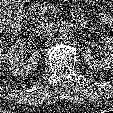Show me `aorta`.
<instances>
[{
    "label": "aorta",
    "mask_w": 113,
    "mask_h": 113,
    "mask_svg": "<svg viewBox=\"0 0 113 113\" xmlns=\"http://www.w3.org/2000/svg\"><path fill=\"white\" fill-rule=\"evenodd\" d=\"M73 36H74L73 29L69 25H64L60 27L57 32V38L63 42L71 41Z\"/></svg>",
    "instance_id": "obj_1"
}]
</instances>
